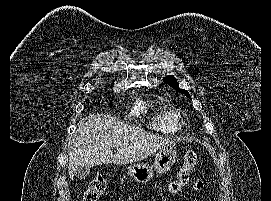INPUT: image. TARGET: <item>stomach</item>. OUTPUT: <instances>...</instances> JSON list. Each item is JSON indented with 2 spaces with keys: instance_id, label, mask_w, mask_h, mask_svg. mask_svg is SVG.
<instances>
[{
  "instance_id": "stomach-1",
  "label": "stomach",
  "mask_w": 271,
  "mask_h": 201,
  "mask_svg": "<svg viewBox=\"0 0 271 201\" xmlns=\"http://www.w3.org/2000/svg\"><path fill=\"white\" fill-rule=\"evenodd\" d=\"M177 158L174 148L161 149L155 156L153 166L146 163H134L127 168L128 175L136 182L144 183L149 181L154 172L158 174L167 173Z\"/></svg>"
}]
</instances>
